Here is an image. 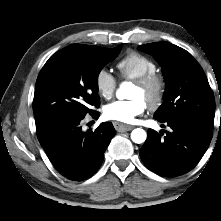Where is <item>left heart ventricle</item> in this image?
Masks as SVG:
<instances>
[{
	"label": "left heart ventricle",
	"instance_id": "1",
	"mask_svg": "<svg viewBox=\"0 0 221 221\" xmlns=\"http://www.w3.org/2000/svg\"><path fill=\"white\" fill-rule=\"evenodd\" d=\"M130 98H139L141 100H143L144 102H146V99L148 97V94L146 91H144L143 89L139 88L138 86H136L135 84L132 86V89L130 91Z\"/></svg>",
	"mask_w": 221,
	"mask_h": 221
}]
</instances>
